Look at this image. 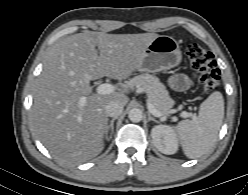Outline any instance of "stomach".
<instances>
[{
  "mask_svg": "<svg viewBox=\"0 0 248 195\" xmlns=\"http://www.w3.org/2000/svg\"><path fill=\"white\" fill-rule=\"evenodd\" d=\"M182 61L179 43L171 36L154 39L144 50L139 71L156 73L178 66Z\"/></svg>",
  "mask_w": 248,
  "mask_h": 195,
  "instance_id": "0dacf381",
  "label": "stomach"
}]
</instances>
